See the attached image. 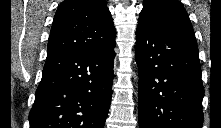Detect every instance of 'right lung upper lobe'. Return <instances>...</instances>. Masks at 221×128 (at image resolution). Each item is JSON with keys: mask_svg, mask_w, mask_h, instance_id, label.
Returning <instances> with one entry per match:
<instances>
[{"mask_svg": "<svg viewBox=\"0 0 221 128\" xmlns=\"http://www.w3.org/2000/svg\"><path fill=\"white\" fill-rule=\"evenodd\" d=\"M115 37L105 0H64L53 20L47 58L71 51L100 49Z\"/></svg>", "mask_w": 221, "mask_h": 128, "instance_id": "cb5924a9", "label": "right lung upper lobe"}]
</instances>
